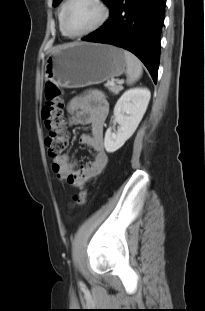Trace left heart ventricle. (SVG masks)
Returning a JSON list of instances; mask_svg holds the SVG:
<instances>
[{"mask_svg":"<svg viewBox=\"0 0 205 311\" xmlns=\"http://www.w3.org/2000/svg\"><path fill=\"white\" fill-rule=\"evenodd\" d=\"M100 16L101 11L92 0H73L67 12L66 25L70 32L80 33L94 26Z\"/></svg>","mask_w":205,"mask_h":311,"instance_id":"obj_1","label":"left heart ventricle"}]
</instances>
